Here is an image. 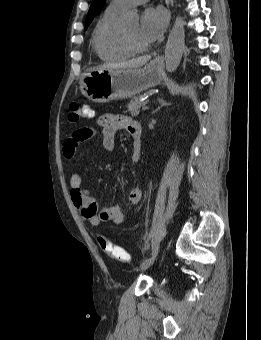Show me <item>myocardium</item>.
Listing matches in <instances>:
<instances>
[{
    "mask_svg": "<svg viewBox=\"0 0 261 340\" xmlns=\"http://www.w3.org/2000/svg\"><path fill=\"white\" fill-rule=\"evenodd\" d=\"M122 40H123V44L126 47V49L132 54H139V53L146 52L148 50V46L139 47L135 45L133 41L130 39V37L127 35L125 30H122Z\"/></svg>",
    "mask_w": 261,
    "mask_h": 340,
    "instance_id": "obj_1",
    "label": "myocardium"
}]
</instances>
